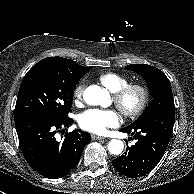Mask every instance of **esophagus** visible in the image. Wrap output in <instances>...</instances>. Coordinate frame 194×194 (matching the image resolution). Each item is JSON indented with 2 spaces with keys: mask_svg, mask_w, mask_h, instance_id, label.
Instances as JSON below:
<instances>
[{
  "mask_svg": "<svg viewBox=\"0 0 194 194\" xmlns=\"http://www.w3.org/2000/svg\"><path fill=\"white\" fill-rule=\"evenodd\" d=\"M91 138H92V140H104L105 139L104 137H101V136H98V135H95V134H92Z\"/></svg>",
  "mask_w": 194,
  "mask_h": 194,
  "instance_id": "esophagus-1",
  "label": "esophagus"
}]
</instances>
